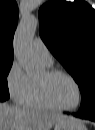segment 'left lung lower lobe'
<instances>
[{
    "label": "left lung lower lobe",
    "instance_id": "1",
    "mask_svg": "<svg viewBox=\"0 0 95 130\" xmlns=\"http://www.w3.org/2000/svg\"><path fill=\"white\" fill-rule=\"evenodd\" d=\"M73 115L82 119L95 121V100H92L86 105L81 106V110Z\"/></svg>",
    "mask_w": 95,
    "mask_h": 130
}]
</instances>
